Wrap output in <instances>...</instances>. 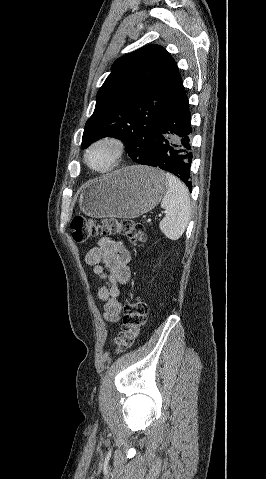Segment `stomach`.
<instances>
[{"instance_id":"0dacf381","label":"stomach","mask_w":266,"mask_h":479,"mask_svg":"<svg viewBox=\"0 0 266 479\" xmlns=\"http://www.w3.org/2000/svg\"><path fill=\"white\" fill-rule=\"evenodd\" d=\"M166 189L167 179L162 170L130 166L83 186L79 206L93 218H137L155 208Z\"/></svg>"}]
</instances>
